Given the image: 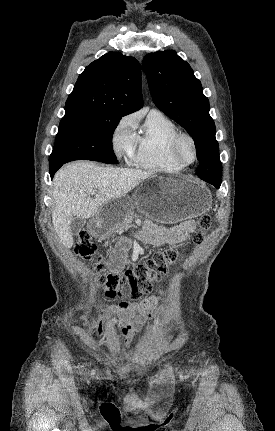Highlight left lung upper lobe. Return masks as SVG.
Segmentation results:
<instances>
[{
    "mask_svg": "<svg viewBox=\"0 0 275 431\" xmlns=\"http://www.w3.org/2000/svg\"><path fill=\"white\" fill-rule=\"evenodd\" d=\"M155 105L180 124L193 138L199 166L197 175L214 173L221 179L216 129L209 115V100L190 65L175 51H157L143 59Z\"/></svg>",
    "mask_w": 275,
    "mask_h": 431,
    "instance_id": "1",
    "label": "left lung upper lobe"
}]
</instances>
